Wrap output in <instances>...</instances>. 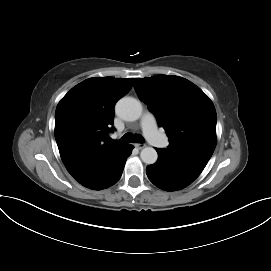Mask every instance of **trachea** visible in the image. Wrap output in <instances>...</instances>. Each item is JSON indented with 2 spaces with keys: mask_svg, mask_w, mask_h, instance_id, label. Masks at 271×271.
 Returning a JSON list of instances; mask_svg holds the SVG:
<instances>
[{
  "mask_svg": "<svg viewBox=\"0 0 271 271\" xmlns=\"http://www.w3.org/2000/svg\"><path fill=\"white\" fill-rule=\"evenodd\" d=\"M144 138L139 134L126 133L120 140L121 143H143Z\"/></svg>",
  "mask_w": 271,
  "mask_h": 271,
  "instance_id": "obj_1",
  "label": "trachea"
}]
</instances>
